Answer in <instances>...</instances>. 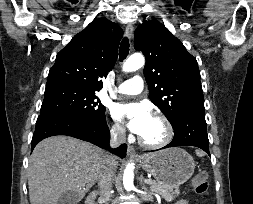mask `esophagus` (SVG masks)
<instances>
[{"instance_id": "esophagus-1", "label": "esophagus", "mask_w": 253, "mask_h": 204, "mask_svg": "<svg viewBox=\"0 0 253 204\" xmlns=\"http://www.w3.org/2000/svg\"><path fill=\"white\" fill-rule=\"evenodd\" d=\"M133 30H134L133 24H131V23L127 24L126 29H125V33L128 38L132 37ZM127 153L130 157H138L134 147L131 145H128Z\"/></svg>"}]
</instances>
